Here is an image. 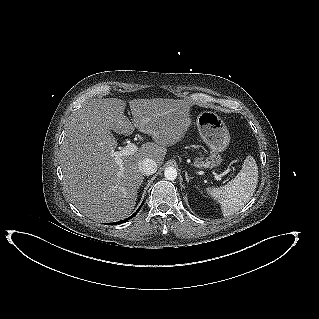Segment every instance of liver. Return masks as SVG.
<instances>
[{
    "mask_svg": "<svg viewBox=\"0 0 319 319\" xmlns=\"http://www.w3.org/2000/svg\"><path fill=\"white\" fill-rule=\"evenodd\" d=\"M133 123L125 116L126 101L100 98L87 101L71 117L61 145L60 164L70 202L97 222L119 221L134 209L143 182L139 163L153 159L162 165L166 147L179 142L189 127L191 104L186 100L129 101ZM137 128L152 136L133 155L116 163L117 140L111 131L130 135Z\"/></svg>",
    "mask_w": 319,
    "mask_h": 319,
    "instance_id": "6515ba94",
    "label": "liver"
}]
</instances>
